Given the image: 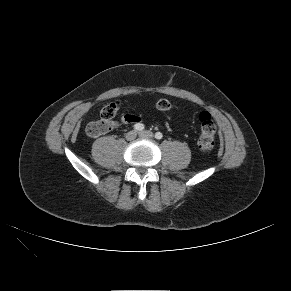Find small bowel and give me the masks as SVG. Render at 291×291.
I'll return each instance as SVG.
<instances>
[{
	"label": "small bowel",
	"mask_w": 291,
	"mask_h": 291,
	"mask_svg": "<svg viewBox=\"0 0 291 291\" xmlns=\"http://www.w3.org/2000/svg\"><path fill=\"white\" fill-rule=\"evenodd\" d=\"M140 121L141 119L138 115L133 113H127L121 117L120 121L112 122V128H117L121 124H137L140 123Z\"/></svg>",
	"instance_id": "c3829d8e"
}]
</instances>
